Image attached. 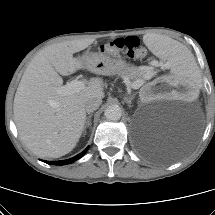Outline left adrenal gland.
Wrapping results in <instances>:
<instances>
[{
    "mask_svg": "<svg viewBox=\"0 0 215 215\" xmlns=\"http://www.w3.org/2000/svg\"><path fill=\"white\" fill-rule=\"evenodd\" d=\"M133 99H134V95H132L131 97H124V101L128 104L129 107H131Z\"/></svg>",
    "mask_w": 215,
    "mask_h": 215,
    "instance_id": "obj_1",
    "label": "left adrenal gland"
}]
</instances>
